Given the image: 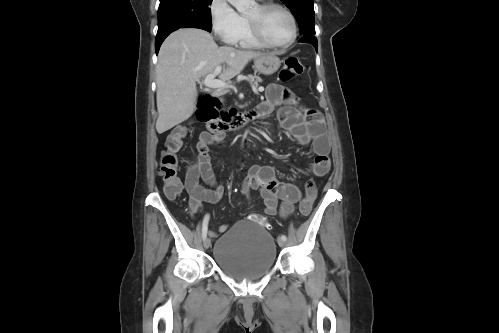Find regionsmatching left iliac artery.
I'll return each mask as SVG.
<instances>
[{"label": "left iliac artery", "mask_w": 499, "mask_h": 333, "mask_svg": "<svg viewBox=\"0 0 499 333\" xmlns=\"http://www.w3.org/2000/svg\"><path fill=\"white\" fill-rule=\"evenodd\" d=\"M281 238L286 241L287 240V237L285 235H281Z\"/></svg>", "instance_id": "left-iliac-artery-1"}]
</instances>
